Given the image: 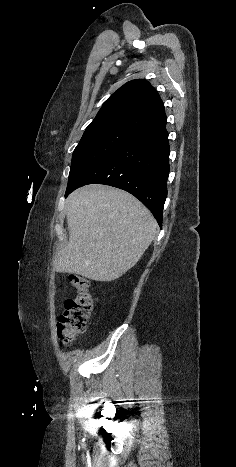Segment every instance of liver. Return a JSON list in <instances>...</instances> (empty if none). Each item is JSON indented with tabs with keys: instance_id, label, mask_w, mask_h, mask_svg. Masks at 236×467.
Listing matches in <instances>:
<instances>
[{
	"instance_id": "6515ba94",
	"label": "liver",
	"mask_w": 236,
	"mask_h": 467,
	"mask_svg": "<svg viewBox=\"0 0 236 467\" xmlns=\"http://www.w3.org/2000/svg\"><path fill=\"white\" fill-rule=\"evenodd\" d=\"M69 241L58 250L54 269L100 282L131 269L156 235L151 212L126 191L88 185L66 200Z\"/></svg>"
}]
</instances>
